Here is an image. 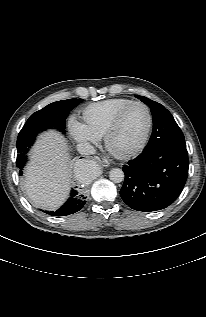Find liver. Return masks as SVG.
<instances>
[{
    "label": "liver",
    "instance_id": "obj_1",
    "mask_svg": "<svg viewBox=\"0 0 206 317\" xmlns=\"http://www.w3.org/2000/svg\"><path fill=\"white\" fill-rule=\"evenodd\" d=\"M31 153L24 179L26 193L34 205L55 210L67 199L72 178L65 139L58 132H45Z\"/></svg>",
    "mask_w": 206,
    "mask_h": 317
}]
</instances>
